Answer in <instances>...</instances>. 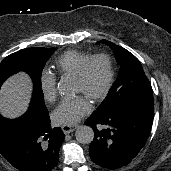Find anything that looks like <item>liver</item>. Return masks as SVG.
I'll list each match as a JSON object with an SVG mask.
<instances>
[{
    "instance_id": "6515ba94",
    "label": "liver",
    "mask_w": 171,
    "mask_h": 171,
    "mask_svg": "<svg viewBox=\"0 0 171 171\" xmlns=\"http://www.w3.org/2000/svg\"><path fill=\"white\" fill-rule=\"evenodd\" d=\"M31 88V80L25 73L6 81L0 91V112L8 118L24 113L30 101Z\"/></svg>"
}]
</instances>
